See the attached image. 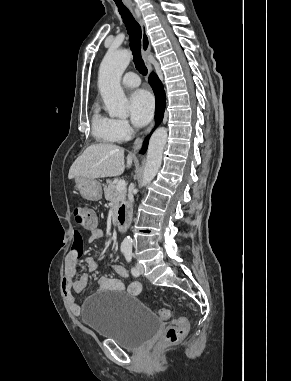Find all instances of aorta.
Listing matches in <instances>:
<instances>
[{"label":"aorta","mask_w":291,"mask_h":381,"mask_svg":"<svg viewBox=\"0 0 291 381\" xmlns=\"http://www.w3.org/2000/svg\"><path fill=\"white\" fill-rule=\"evenodd\" d=\"M130 60L131 52L128 50H109L100 64L98 87L111 117L126 118L128 115L127 99L121 88L120 79ZM167 135V129L160 127L150 138L142 186H146L153 180L161 166ZM121 246L131 249L132 239L129 236L124 238Z\"/></svg>","instance_id":"aorta-1"}]
</instances>
